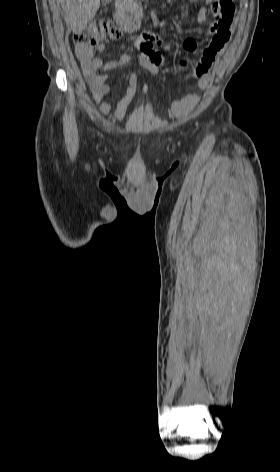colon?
Here are the masks:
<instances>
[{
  "label": "colon",
  "mask_w": 280,
  "mask_h": 472,
  "mask_svg": "<svg viewBox=\"0 0 280 472\" xmlns=\"http://www.w3.org/2000/svg\"><path fill=\"white\" fill-rule=\"evenodd\" d=\"M236 0H213L212 11L216 25H229L236 10ZM122 35L121 29L109 20H96L90 23L84 30L73 36L76 45H83L95 49L103 42L115 41ZM182 68H186L187 63L181 62Z\"/></svg>",
  "instance_id": "obj_1"
}]
</instances>
